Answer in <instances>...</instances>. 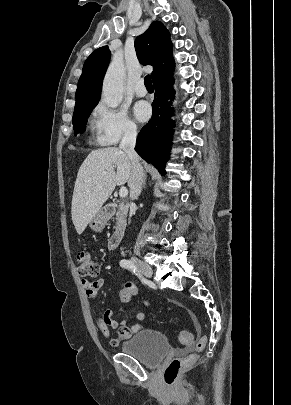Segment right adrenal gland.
Wrapping results in <instances>:
<instances>
[{"mask_svg": "<svg viewBox=\"0 0 291 405\" xmlns=\"http://www.w3.org/2000/svg\"><path fill=\"white\" fill-rule=\"evenodd\" d=\"M145 180H146V177L144 178L143 187H145V185H146Z\"/></svg>", "mask_w": 291, "mask_h": 405, "instance_id": "1", "label": "right adrenal gland"}]
</instances>
